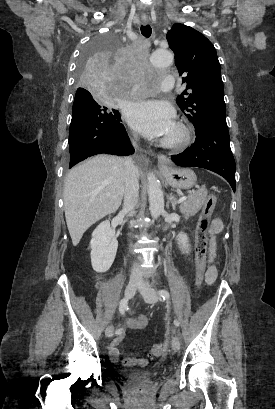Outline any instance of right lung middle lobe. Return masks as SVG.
Returning a JSON list of instances; mask_svg holds the SVG:
<instances>
[{
    "mask_svg": "<svg viewBox=\"0 0 275 409\" xmlns=\"http://www.w3.org/2000/svg\"><path fill=\"white\" fill-rule=\"evenodd\" d=\"M123 39L116 30H103L87 42V50L78 59L75 78L79 79L69 129V155L61 176L66 178L74 165L96 154L126 156L134 153L130 139L121 123L123 96H108L105 91H128L129 83L120 82L115 70L116 51ZM133 169H147V160H133Z\"/></svg>",
    "mask_w": 275,
    "mask_h": 409,
    "instance_id": "right-lung-middle-lobe-1",
    "label": "right lung middle lobe"
}]
</instances>
